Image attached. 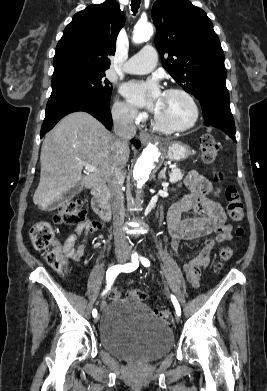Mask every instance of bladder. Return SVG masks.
<instances>
[{
    "mask_svg": "<svg viewBox=\"0 0 267 391\" xmlns=\"http://www.w3.org/2000/svg\"><path fill=\"white\" fill-rule=\"evenodd\" d=\"M99 319L102 348L117 358L150 362L172 349L171 328L142 301L117 298L107 304Z\"/></svg>",
    "mask_w": 267,
    "mask_h": 391,
    "instance_id": "1",
    "label": "bladder"
}]
</instances>
